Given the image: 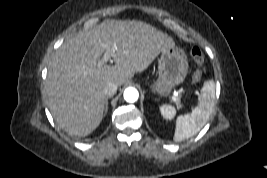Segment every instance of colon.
Returning a JSON list of instances; mask_svg holds the SVG:
<instances>
[{"label":"colon","instance_id":"1","mask_svg":"<svg viewBox=\"0 0 267 178\" xmlns=\"http://www.w3.org/2000/svg\"><path fill=\"white\" fill-rule=\"evenodd\" d=\"M190 56H191V59L194 61V63L197 65V69L193 75V80L195 82L199 81L202 77V71L200 69V67L202 66L203 64V61H204V55L201 51V49L199 47H192L190 49Z\"/></svg>","mask_w":267,"mask_h":178}]
</instances>
